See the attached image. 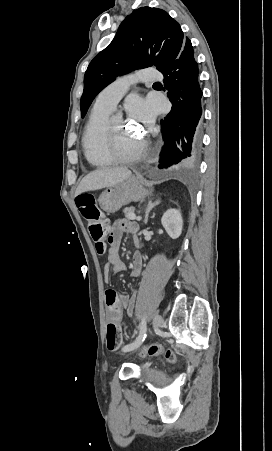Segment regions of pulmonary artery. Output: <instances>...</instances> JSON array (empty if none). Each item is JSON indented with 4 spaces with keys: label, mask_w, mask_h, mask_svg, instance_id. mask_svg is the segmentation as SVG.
I'll return each mask as SVG.
<instances>
[{
    "label": "pulmonary artery",
    "mask_w": 272,
    "mask_h": 451,
    "mask_svg": "<svg viewBox=\"0 0 272 451\" xmlns=\"http://www.w3.org/2000/svg\"><path fill=\"white\" fill-rule=\"evenodd\" d=\"M132 75L122 76L103 90L96 98V103L100 106H106L113 108L127 93L130 85L141 81L144 85H150L153 82L158 81L159 76L162 74L159 70H156L155 66L148 65L143 70H138L136 75L132 70Z\"/></svg>",
    "instance_id": "obj_1"
}]
</instances>
